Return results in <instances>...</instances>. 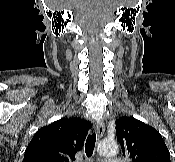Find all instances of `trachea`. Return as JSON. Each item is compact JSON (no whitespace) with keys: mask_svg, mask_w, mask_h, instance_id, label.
Returning <instances> with one entry per match:
<instances>
[{"mask_svg":"<svg viewBox=\"0 0 175 162\" xmlns=\"http://www.w3.org/2000/svg\"><path fill=\"white\" fill-rule=\"evenodd\" d=\"M96 143V133L89 134L85 143V153L87 157H91Z\"/></svg>","mask_w":175,"mask_h":162,"instance_id":"trachea-1","label":"trachea"}]
</instances>
